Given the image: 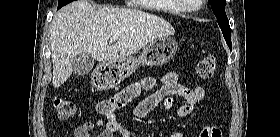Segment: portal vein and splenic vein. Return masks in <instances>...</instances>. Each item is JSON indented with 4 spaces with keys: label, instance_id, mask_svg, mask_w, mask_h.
<instances>
[{
    "label": "portal vein and splenic vein",
    "instance_id": "18ae733b",
    "mask_svg": "<svg viewBox=\"0 0 280 137\" xmlns=\"http://www.w3.org/2000/svg\"><path fill=\"white\" fill-rule=\"evenodd\" d=\"M116 40H117V37H116V36H113V37L110 38L109 41H110V42H114V41H116Z\"/></svg>",
    "mask_w": 280,
    "mask_h": 137
}]
</instances>
